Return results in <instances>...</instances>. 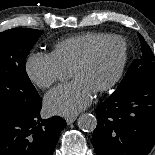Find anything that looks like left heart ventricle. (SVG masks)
I'll return each mask as SVG.
<instances>
[{
    "label": "left heart ventricle",
    "mask_w": 155,
    "mask_h": 155,
    "mask_svg": "<svg viewBox=\"0 0 155 155\" xmlns=\"http://www.w3.org/2000/svg\"><path fill=\"white\" fill-rule=\"evenodd\" d=\"M123 56V46L117 40L102 44L91 61L81 68L70 71L73 80H79L94 93L108 83L117 73Z\"/></svg>",
    "instance_id": "b2bd125f"
}]
</instances>
